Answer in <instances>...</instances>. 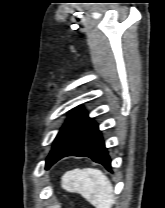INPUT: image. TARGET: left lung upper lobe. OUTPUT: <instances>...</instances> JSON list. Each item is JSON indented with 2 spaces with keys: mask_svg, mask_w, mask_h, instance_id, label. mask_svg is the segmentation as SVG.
Returning <instances> with one entry per match:
<instances>
[{
  "mask_svg": "<svg viewBox=\"0 0 165 208\" xmlns=\"http://www.w3.org/2000/svg\"><path fill=\"white\" fill-rule=\"evenodd\" d=\"M90 120L83 110H75L55 138L52 150L46 159V169L61 159L68 151L83 126Z\"/></svg>",
  "mask_w": 165,
  "mask_h": 208,
  "instance_id": "1",
  "label": "left lung upper lobe"
}]
</instances>
